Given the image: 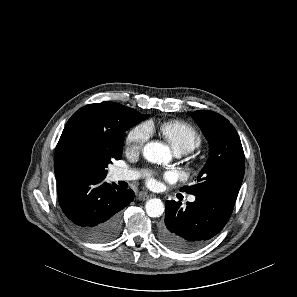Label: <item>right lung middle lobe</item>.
<instances>
[{
  "label": "right lung middle lobe",
  "mask_w": 297,
  "mask_h": 297,
  "mask_svg": "<svg viewBox=\"0 0 297 297\" xmlns=\"http://www.w3.org/2000/svg\"><path fill=\"white\" fill-rule=\"evenodd\" d=\"M149 115H142L138 111L125 107L123 111V120L125 130L146 119ZM125 136V134H124ZM123 141L118 149H102L99 151L86 152L83 156V173L105 178L107 175V166L113 159L119 160L122 157Z\"/></svg>",
  "instance_id": "obj_1"
}]
</instances>
